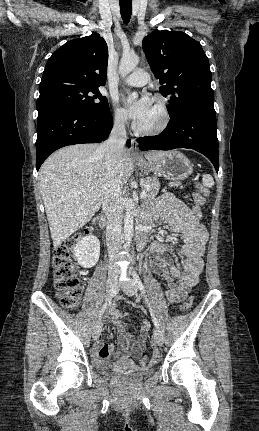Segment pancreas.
<instances>
[{
  "label": "pancreas",
  "mask_w": 259,
  "mask_h": 431,
  "mask_svg": "<svg viewBox=\"0 0 259 431\" xmlns=\"http://www.w3.org/2000/svg\"><path fill=\"white\" fill-rule=\"evenodd\" d=\"M140 184L142 186V188L144 189V191L147 193V198H154L159 189H160V183L158 178L156 177H148L145 179H141ZM180 183L179 182H171L169 183L170 187H177L179 186Z\"/></svg>",
  "instance_id": "obj_1"
}]
</instances>
